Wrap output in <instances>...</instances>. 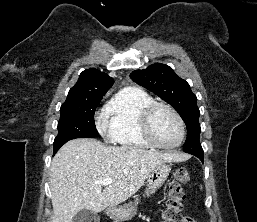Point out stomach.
Listing matches in <instances>:
<instances>
[{
	"instance_id": "obj_1",
	"label": "stomach",
	"mask_w": 257,
	"mask_h": 222,
	"mask_svg": "<svg viewBox=\"0 0 257 222\" xmlns=\"http://www.w3.org/2000/svg\"><path fill=\"white\" fill-rule=\"evenodd\" d=\"M171 168L169 165L162 163L155 167L147 178V195L153 194L157 189H159L167 179ZM138 200L134 205H125L119 207H112L109 210V216L116 222L125 221L131 219L136 215Z\"/></svg>"
}]
</instances>
